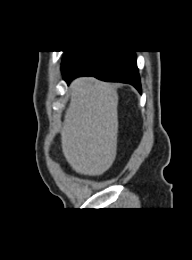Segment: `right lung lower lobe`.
I'll use <instances>...</instances> for the list:
<instances>
[{"instance_id": "obj_1", "label": "right lung lower lobe", "mask_w": 192, "mask_h": 260, "mask_svg": "<svg viewBox=\"0 0 192 260\" xmlns=\"http://www.w3.org/2000/svg\"><path fill=\"white\" fill-rule=\"evenodd\" d=\"M62 73L67 83L78 76H94L104 81L129 83L141 92L134 51H86Z\"/></svg>"}]
</instances>
